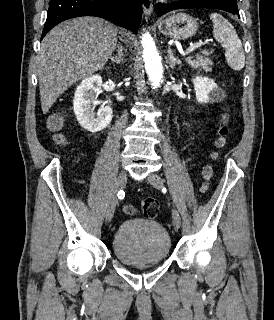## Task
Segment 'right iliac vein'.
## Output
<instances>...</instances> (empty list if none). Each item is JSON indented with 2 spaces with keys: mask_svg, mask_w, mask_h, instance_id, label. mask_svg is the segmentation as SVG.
I'll return each mask as SVG.
<instances>
[{
  "mask_svg": "<svg viewBox=\"0 0 274 320\" xmlns=\"http://www.w3.org/2000/svg\"><path fill=\"white\" fill-rule=\"evenodd\" d=\"M126 182H127V173L125 171H122L118 175L116 186L114 189V193H113V195L110 199V202L108 204V207H107V211H106V220L107 221H110L114 215L115 208L117 205V192H119L120 190H122L125 187Z\"/></svg>",
  "mask_w": 274,
  "mask_h": 320,
  "instance_id": "right-iliac-vein-1",
  "label": "right iliac vein"
}]
</instances>
